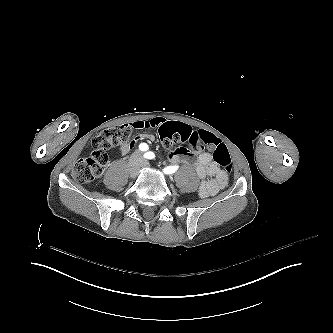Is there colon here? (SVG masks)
<instances>
[{"mask_svg":"<svg viewBox=\"0 0 333 333\" xmlns=\"http://www.w3.org/2000/svg\"><path fill=\"white\" fill-rule=\"evenodd\" d=\"M131 129L127 124L117 125L103 130L92 141V153L77 161L72 168L74 180L80 183H89L96 180L107 163L106 150L128 145L131 138ZM158 134L160 138L173 143L179 141L184 144H191L193 148L203 151L200 142L214 148L213 159L225 173L232 170V160L227 146L215 137L212 133L199 132L197 127L184 123L176 124L168 120L160 127Z\"/></svg>","mask_w":333,"mask_h":333,"instance_id":"colon-1","label":"colon"}]
</instances>
